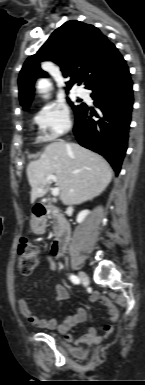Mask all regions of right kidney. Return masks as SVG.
<instances>
[{
	"label": "right kidney",
	"instance_id": "right-kidney-1",
	"mask_svg": "<svg viewBox=\"0 0 145 385\" xmlns=\"http://www.w3.org/2000/svg\"><path fill=\"white\" fill-rule=\"evenodd\" d=\"M89 214V210H83L77 215V223H82Z\"/></svg>",
	"mask_w": 145,
	"mask_h": 385
}]
</instances>
